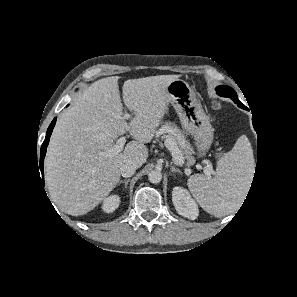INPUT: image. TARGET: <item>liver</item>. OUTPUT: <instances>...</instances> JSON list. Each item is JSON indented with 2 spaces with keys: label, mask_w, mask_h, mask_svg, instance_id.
Masks as SVG:
<instances>
[{
  "label": "liver",
  "mask_w": 297,
  "mask_h": 297,
  "mask_svg": "<svg viewBox=\"0 0 297 297\" xmlns=\"http://www.w3.org/2000/svg\"><path fill=\"white\" fill-rule=\"evenodd\" d=\"M179 75L130 79L123 101L135 116L126 122L119 77L94 82L62 113L50 138L45 180L51 201L72 216L84 215L104 201L120 179V167L148 158L149 143L168 110L167 86ZM129 132L135 139L118 154L106 156L114 140Z\"/></svg>",
  "instance_id": "1"
}]
</instances>
